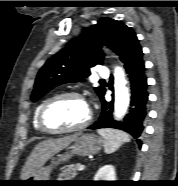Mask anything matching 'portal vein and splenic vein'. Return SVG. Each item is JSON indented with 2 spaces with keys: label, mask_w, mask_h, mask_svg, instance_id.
<instances>
[{
  "label": "portal vein and splenic vein",
  "mask_w": 178,
  "mask_h": 186,
  "mask_svg": "<svg viewBox=\"0 0 178 186\" xmlns=\"http://www.w3.org/2000/svg\"><path fill=\"white\" fill-rule=\"evenodd\" d=\"M84 168H85V166H84V165H79V167H78V171H83V170H84Z\"/></svg>",
  "instance_id": "18ae733b"
}]
</instances>
